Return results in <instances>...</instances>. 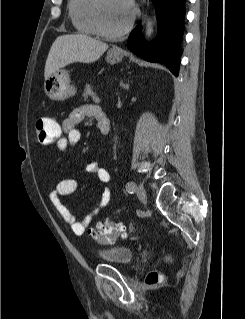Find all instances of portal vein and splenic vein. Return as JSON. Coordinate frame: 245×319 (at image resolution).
Wrapping results in <instances>:
<instances>
[{"mask_svg":"<svg viewBox=\"0 0 245 319\" xmlns=\"http://www.w3.org/2000/svg\"><path fill=\"white\" fill-rule=\"evenodd\" d=\"M93 100L95 101V102H99L100 100H99V97H97V96H93Z\"/></svg>","mask_w":245,"mask_h":319,"instance_id":"obj_1","label":"portal vein and splenic vein"}]
</instances>
